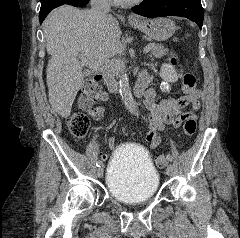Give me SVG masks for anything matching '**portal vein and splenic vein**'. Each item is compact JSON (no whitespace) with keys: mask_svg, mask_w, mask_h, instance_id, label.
<instances>
[{"mask_svg":"<svg viewBox=\"0 0 240 238\" xmlns=\"http://www.w3.org/2000/svg\"><path fill=\"white\" fill-rule=\"evenodd\" d=\"M152 44H148L144 48V52L147 53L152 49ZM81 62L83 65L88 66L92 69H102V70H110L115 67V65L118 63L116 60L113 61H95L94 59H86L82 55L79 56Z\"/></svg>","mask_w":240,"mask_h":238,"instance_id":"18ae733b","label":"portal vein and splenic vein"}]
</instances>
